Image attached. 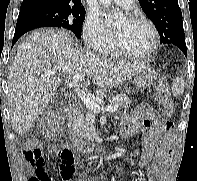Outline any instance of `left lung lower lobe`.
Returning a JSON list of instances; mask_svg holds the SVG:
<instances>
[{
    "label": "left lung lower lobe",
    "mask_w": 197,
    "mask_h": 181,
    "mask_svg": "<svg viewBox=\"0 0 197 181\" xmlns=\"http://www.w3.org/2000/svg\"><path fill=\"white\" fill-rule=\"evenodd\" d=\"M181 50H182V52L186 55V53H187V47H186V45H183V46H178Z\"/></svg>",
    "instance_id": "obj_1"
}]
</instances>
